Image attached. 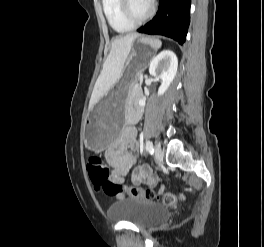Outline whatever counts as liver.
Here are the masks:
<instances>
[{"label": "liver", "instance_id": "1", "mask_svg": "<svg viewBox=\"0 0 264 247\" xmlns=\"http://www.w3.org/2000/svg\"><path fill=\"white\" fill-rule=\"evenodd\" d=\"M139 36L140 35L137 33H131L124 37L112 39L110 53L104 62L103 69L95 83L90 98L89 110H91L103 96L107 95L109 90L121 78L132 44Z\"/></svg>", "mask_w": 264, "mask_h": 247}]
</instances>
